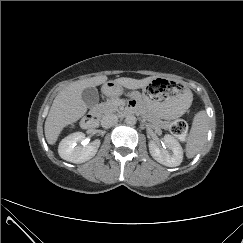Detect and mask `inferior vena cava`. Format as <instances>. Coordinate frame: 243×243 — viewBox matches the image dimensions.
Instances as JSON below:
<instances>
[{"instance_id": "602c4592", "label": "inferior vena cava", "mask_w": 243, "mask_h": 243, "mask_svg": "<svg viewBox=\"0 0 243 243\" xmlns=\"http://www.w3.org/2000/svg\"><path fill=\"white\" fill-rule=\"evenodd\" d=\"M118 122V117L115 114H106L101 120V125L104 128H110Z\"/></svg>"}]
</instances>
